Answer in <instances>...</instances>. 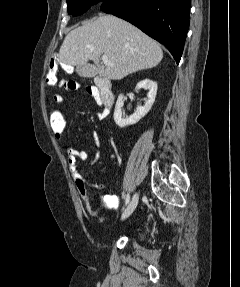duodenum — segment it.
<instances>
[{
	"label": "duodenum",
	"instance_id": "obj_1",
	"mask_svg": "<svg viewBox=\"0 0 240 287\" xmlns=\"http://www.w3.org/2000/svg\"><path fill=\"white\" fill-rule=\"evenodd\" d=\"M100 99L105 107L110 108L114 104V93L112 90V82L107 78H99L96 82Z\"/></svg>",
	"mask_w": 240,
	"mask_h": 287
}]
</instances>
